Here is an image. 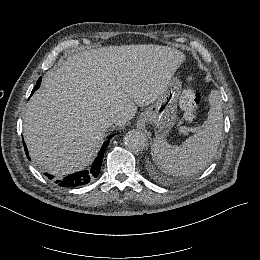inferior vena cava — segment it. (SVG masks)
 Here are the masks:
<instances>
[{
    "mask_svg": "<svg viewBox=\"0 0 260 260\" xmlns=\"http://www.w3.org/2000/svg\"><path fill=\"white\" fill-rule=\"evenodd\" d=\"M113 123L117 124V117L114 114H111L108 118L105 119V125L110 127Z\"/></svg>",
    "mask_w": 260,
    "mask_h": 260,
    "instance_id": "602c4592",
    "label": "inferior vena cava"
}]
</instances>
